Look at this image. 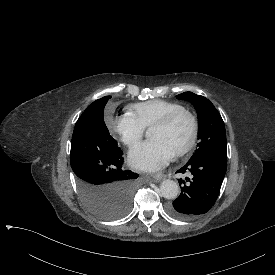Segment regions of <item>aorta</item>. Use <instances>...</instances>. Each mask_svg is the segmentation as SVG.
<instances>
[{
    "instance_id": "1",
    "label": "aorta",
    "mask_w": 275,
    "mask_h": 275,
    "mask_svg": "<svg viewBox=\"0 0 275 275\" xmlns=\"http://www.w3.org/2000/svg\"><path fill=\"white\" fill-rule=\"evenodd\" d=\"M159 188L161 196L167 199L176 198L179 194L178 184L171 179H163L160 182Z\"/></svg>"
}]
</instances>
